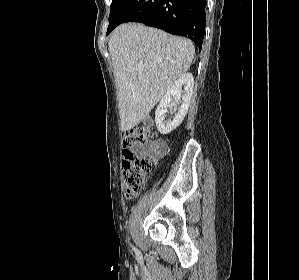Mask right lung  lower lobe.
<instances>
[{
    "mask_svg": "<svg viewBox=\"0 0 299 280\" xmlns=\"http://www.w3.org/2000/svg\"><path fill=\"white\" fill-rule=\"evenodd\" d=\"M205 6L206 0H127L107 35L124 22H141L188 37L201 50L205 33Z\"/></svg>",
    "mask_w": 299,
    "mask_h": 280,
    "instance_id": "98d812e1",
    "label": "right lung lower lobe"
}]
</instances>
